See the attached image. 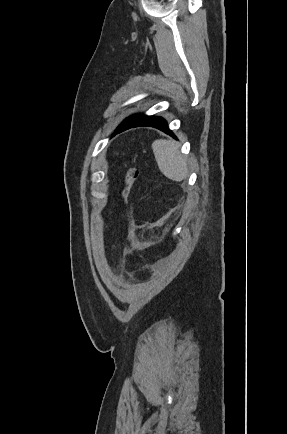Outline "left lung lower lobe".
Masks as SVG:
<instances>
[{
  "label": "left lung lower lobe",
  "mask_w": 287,
  "mask_h": 434,
  "mask_svg": "<svg viewBox=\"0 0 287 434\" xmlns=\"http://www.w3.org/2000/svg\"><path fill=\"white\" fill-rule=\"evenodd\" d=\"M140 126L155 127L169 134L173 138H176L175 135L172 133V131L168 128L167 122L163 118L155 117V116H145V115H139L127 119L121 126L117 128L116 133H120L129 128L140 127Z\"/></svg>",
  "instance_id": "left-lung-lower-lobe-1"
}]
</instances>
